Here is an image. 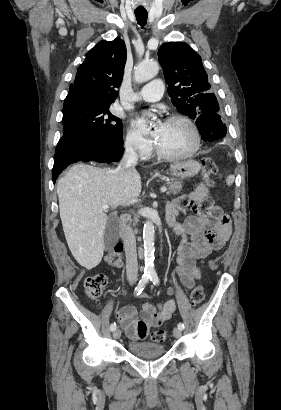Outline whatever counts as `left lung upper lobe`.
I'll list each match as a JSON object with an SVG mask.
<instances>
[{
    "label": "left lung upper lobe",
    "mask_w": 281,
    "mask_h": 410,
    "mask_svg": "<svg viewBox=\"0 0 281 410\" xmlns=\"http://www.w3.org/2000/svg\"><path fill=\"white\" fill-rule=\"evenodd\" d=\"M158 59L173 105L192 119L219 111L217 99L203 69L201 57L184 42L161 45Z\"/></svg>",
    "instance_id": "obj_1"
}]
</instances>
